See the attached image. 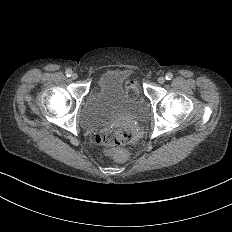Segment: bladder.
<instances>
[{"mask_svg":"<svg viewBox=\"0 0 232 232\" xmlns=\"http://www.w3.org/2000/svg\"><path fill=\"white\" fill-rule=\"evenodd\" d=\"M130 71L113 69L103 72L87 95L79 112V122L87 130L102 128L121 118L145 121L149 107L142 97L130 96L125 82Z\"/></svg>","mask_w":232,"mask_h":232,"instance_id":"obj_1","label":"bladder"}]
</instances>
